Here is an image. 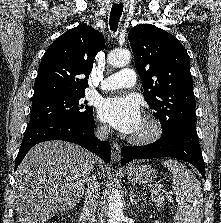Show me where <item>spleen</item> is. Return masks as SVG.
I'll list each match as a JSON object with an SVG mask.
<instances>
[{
  "instance_id": "spleen-1",
  "label": "spleen",
  "mask_w": 221,
  "mask_h": 223,
  "mask_svg": "<svg viewBox=\"0 0 221 223\" xmlns=\"http://www.w3.org/2000/svg\"><path fill=\"white\" fill-rule=\"evenodd\" d=\"M163 166L173 175L172 190L176 195L175 223H201L203 194L191 170L176 160H166Z\"/></svg>"
}]
</instances>
